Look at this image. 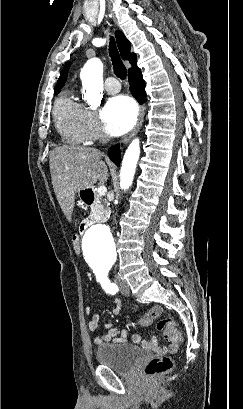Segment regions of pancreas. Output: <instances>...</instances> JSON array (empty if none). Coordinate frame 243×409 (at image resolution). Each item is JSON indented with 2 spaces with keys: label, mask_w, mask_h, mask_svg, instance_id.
<instances>
[{
  "label": "pancreas",
  "mask_w": 243,
  "mask_h": 409,
  "mask_svg": "<svg viewBox=\"0 0 243 409\" xmlns=\"http://www.w3.org/2000/svg\"><path fill=\"white\" fill-rule=\"evenodd\" d=\"M96 203L91 206L90 218L97 222H105L110 214V210L100 202V195L96 194Z\"/></svg>",
  "instance_id": "1"
}]
</instances>
